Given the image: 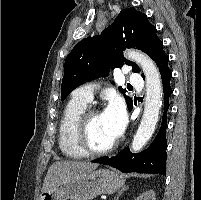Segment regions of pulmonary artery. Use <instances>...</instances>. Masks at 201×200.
Segmentation results:
<instances>
[{
	"mask_svg": "<svg viewBox=\"0 0 201 200\" xmlns=\"http://www.w3.org/2000/svg\"><path fill=\"white\" fill-rule=\"evenodd\" d=\"M128 80L131 84L137 87H141L143 85L142 77L138 73H129ZM95 90H96L95 85L92 84L85 85L74 91V97L89 102L92 100Z\"/></svg>",
	"mask_w": 201,
	"mask_h": 200,
	"instance_id": "obj_1",
	"label": "pulmonary artery"
}]
</instances>
